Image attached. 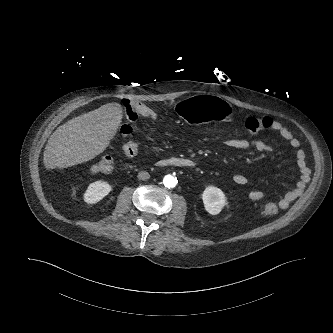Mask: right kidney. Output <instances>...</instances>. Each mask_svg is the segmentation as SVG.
<instances>
[{
    "label": "right kidney",
    "mask_w": 333,
    "mask_h": 333,
    "mask_svg": "<svg viewBox=\"0 0 333 333\" xmlns=\"http://www.w3.org/2000/svg\"><path fill=\"white\" fill-rule=\"evenodd\" d=\"M111 190L112 187L109 183L100 180L95 181L88 186L84 193V201L88 204L97 203L107 196Z\"/></svg>",
    "instance_id": "ca27d5eb"
}]
</instances>
